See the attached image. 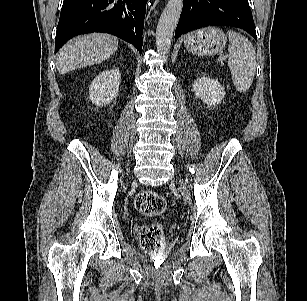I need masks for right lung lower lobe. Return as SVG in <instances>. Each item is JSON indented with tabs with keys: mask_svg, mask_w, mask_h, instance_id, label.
I'll use <instances>...</instances> for the list:
<instances>
[{
	"mask_svg": "<svg viewBox=\"0 0 307 301\" xmlns=\"http://www.w3.org/2000/svg\"><path fill=\"white\" fill-rule=\"evenodd\" d=\"M147 0H64L55 52L72 37L105 32L133 44L141 53Z\"/></svg>",
	"mask_w": 307,
	"mask_h": 301,
	"instance_id": "1",
	"label": "right lung lower lobe"
}]
</instances>
